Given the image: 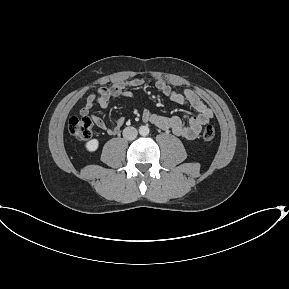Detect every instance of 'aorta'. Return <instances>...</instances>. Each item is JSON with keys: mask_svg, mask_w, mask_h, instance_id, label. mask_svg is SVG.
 Returning <instances> with one entry per match:
<instances>
[{"mask_svg": "<svg viewBox=\"0 0 289 289\" xmlns=\"http://www.w3.org/2000/svg\"><path fill=\"white\" fill-rule=\"evenodd\" d=\"M149 127L148 126H141L139 128V133L141 136H147L149 134Z\"/></svg>", "mask_w": 289, "mask_h": 289, "instance_id": "obj_1", "label": "aorta"}]
</instances>
